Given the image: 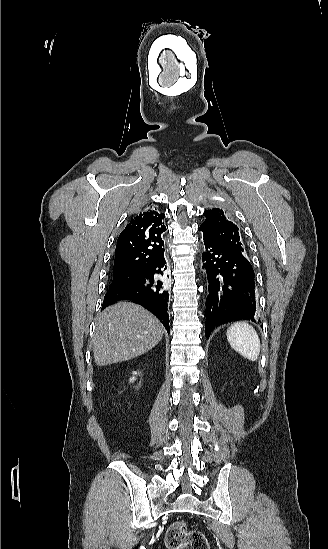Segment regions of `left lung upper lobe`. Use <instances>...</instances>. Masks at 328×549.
Listing matches in <instances>:
<instances>
[{
  "label": "left lung upper lobe",
  "instance_id": "1",
  "mask_svg": "<svg viewBox=\"0 0 328 549\" xmlns=\"http://www.w3.org/2000/svg\"><path fill=\"white\" fill-rule=\"evenodd\" d=\"M203 215L206 219L199 227V230L203 232V237L235 252L245 254L239 229L237 225L229 220L224 210L213 208L205 211Z\"/></svg>",
  "mask_w": 328,
  "mask_h": 549
}]
</instances>
